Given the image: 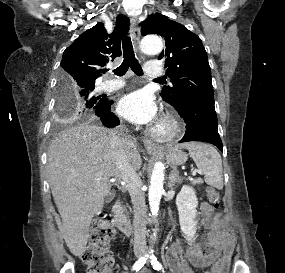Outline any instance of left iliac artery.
<instances>
[{"instance_id":"obj_1","label":"left iliac artery","mask_w":285,"mask_h":273,"mask_svg":"<svg viewBox=\"0 0 285 273\" xmlns=\"http://www.w3.org/2000/svg\"><path fill=\"white\" fill-rule=\"evenodd\" d=\"M150 259H151V265H152L153 269H155V270H157V271L161 270L162 265H161V263L157 260V258H156L154 255H152V256H150Z\"/></svg>"}]
</instances>
